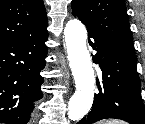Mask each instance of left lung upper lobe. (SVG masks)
<instances>
[{
	"label": "left lung upper lobe",
	"mask_w": 145,
	"mask_h": 124,
	"mask_svg": "<svg viewBox=\"0 0 145 124\" xmlns=\"http://www.w3.org/2000/svg\"><path fill=\"white\" fill-rule=\"evenodd\" d=\"M72 14L88 32L134 55L124 0H72Z\"/></svg>",
	"instance_id": "1"
}]
</instances>
